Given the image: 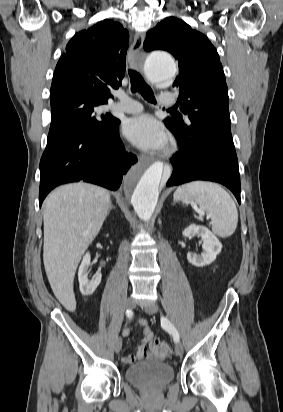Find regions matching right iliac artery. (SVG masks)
Listing matches in <instances>:
<instances>
[{
	"instance_id": "obj_1",
	"label": "right iliac artery",
	"mask_w": 283,
	"mask_h": 412,
	"mask_svg": "<svg viewBox=\"0 0 283 412\" xmlns=\"http://www.w3.org/2000/svg\"><path fill=\"white\" fill-rule=\"evenodd\" d=\"M132 315H133V312H132L131 310H127V311H126V316H127L128 318H131Z\"/></svg>"
}]
</instances>
